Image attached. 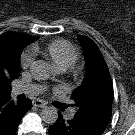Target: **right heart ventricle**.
Instances as JSON below:
<instances>
[{
  "label": "right heart ventricle",
  "instance_id": "1",
  "mask_svg": "<svg viewBox=\"0 0 135 135\" xmlns=\"http://www.w3.org/2000/svg\"><path fill=\"white\" fill-rule=\"evenodd\" d=\"M34 53H43L60 71H65L78 59L77 48L69 41L57 39L49 42L44 48L34 44Z\"/></svg>",
  "mask_w": 135,
  "mask_h": 135
}]
</instances>
